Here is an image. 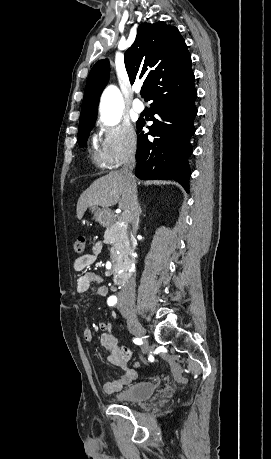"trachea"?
Instances as JSON below:
<instances>
[{
    "label": "trachea",
    "instance_id": "1",
    "mask_svg": "<svg viewBox=\"0 0 271 459\" xmlns=\"http://www.w3.org/2000/svg\"><path fill=\"white\" fill-rule=\"evenodd\" d=\"M146 93H147V92H146V88H142V89H141V96H142V97H145Z\"/></svg>",
    "mask_w": 271,
    "mask_h": 459
}]
</instances>
